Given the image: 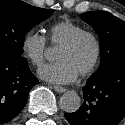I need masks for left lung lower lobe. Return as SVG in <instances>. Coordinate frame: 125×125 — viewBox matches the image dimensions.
Listing matches in <instances>:
<instances>
[{
	"label": "left lung lower lobe",
	"mask_w": 125,
	"mask_h": 125,
	"mask_svg": "<svg viewBox=\"0 0 125 125\" xmlns=\"http://www.w3.org/2000/svg\"><path fill=\"white\" fill-rule=\"evenodd\" d=\"M83 98L76 112L65 113L71 125H118L125 116V65L90 77Z\"/></svg>",
	"instance_id": "left-lung-lower-lobe-1"
}]
</instances>
